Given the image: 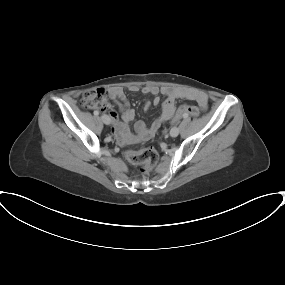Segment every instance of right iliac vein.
<instances>
[{
    "label": "right iliac vein",
    "mask_w": 285,
    "mask_h": 285,
    "mask_svg": "<svg viewBox=\"0 0 285 285\" xmlns=\"http://www.w3.org/2000/svg\"><path fill=\"white\" fill-rule=\"evenodd\" d=\"M101 119H102V121L104 122V124H106V125H109V124H111V119L109 118V116L108 115H102L101 116Z\"/></svg>",
    "instance_id": "obj_1"
}]
</instances>
